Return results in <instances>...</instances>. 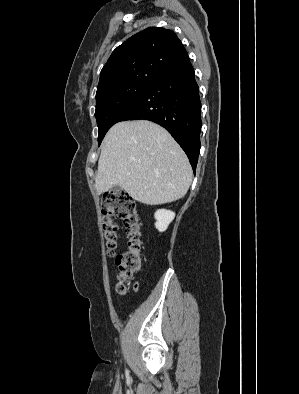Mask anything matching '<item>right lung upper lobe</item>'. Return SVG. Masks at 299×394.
Returning a JSON list of instances; mask_svg holds the SVG:
<instances>
[{
    "label": "right lung upper lobe",
    "mask_w": 299,
    "mask_h": 394,
    "mask_svg": "<svg viewBox=\"0 0 299 394\" xmlns=\"http://www.w3.org/2000/svg\"><path fill=\"white\" fill-rule=\"evenodd\" d=\"M187 58V51L173 31L147 28L113 51L100 72L96 95L125 83H152Z\"/></svg>",
    "instance_id": "1"
}]
</instances>
